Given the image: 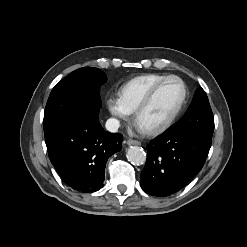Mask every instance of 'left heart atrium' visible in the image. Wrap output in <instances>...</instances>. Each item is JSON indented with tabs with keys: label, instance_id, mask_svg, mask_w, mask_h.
I'll return each mask as SVG.
<instances>
[{
	"label": "left heart atrium",
	"instance_id": "obj_1",
	"mask_svg": "<svg viewBox=\"0 0 247 247\" xmlns=\"http://www.w3.org/2000/svg\"><path fill=\"white\" fill-rule=\"evenodd\" d=\"M139 130H140V131H144V129H142L140 126H139Z\"/></svg>",
	"mask_w": 247,
	"mask_h": 247
}]
</instances>
